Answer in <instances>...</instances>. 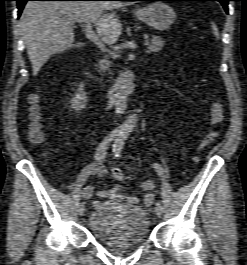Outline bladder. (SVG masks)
Here are the masks:
<instances>
[{
    "instance_id": "1",
    "label": "bladder",
    "mask_w": 247,
    "mask_h": 265,
    "mask_svg": "<svg viewBox=\"0 0 247 265\" xmlns=\"http://www.w3.org/2000/svg\"><path fill=\"white\" fill-rule=\"evenodd\" d=\"M88 228L100 243L113 248H127L147 239L149 220L140 206L104 202L89 214Z\"/></svg>"
}]
</instances>
